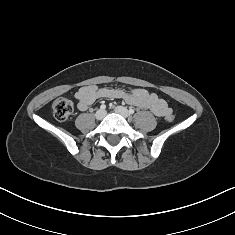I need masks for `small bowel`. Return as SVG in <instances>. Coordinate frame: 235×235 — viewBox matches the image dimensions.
Here are the masks:
<instances>
[{"instance_id": "small-bowel-1", "label": "small bowel", "mask_w": 235, "mask_h": 235, "mask_svg": "<svg viewBox=\"0 0 235 235\" xmlns=\"http://www.w3.org/2000/svg\"><path fill=\"white\" fill-rule=\"evenodd\" d=\"M75 98L77 100V108L80 111L87 110L99 99L117 98L123 99L140 108L148 109L159 117L167 116L172 113V109L164 99L142 88H136L131 92H126L117 88H99L93 85L83 86L75 93Z\"/></svg>"}]
</instances>
